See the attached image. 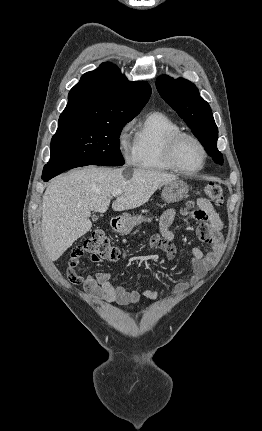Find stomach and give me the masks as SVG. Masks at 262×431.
<instances>
[{
    "label": "stomach",
    "instance_id": "0dacf381",
    "mask_svg": "<svg viewBox=\"0 0 262 431\" xmlns=\"http://www.w3.org/2000/svg\"><path fill=\"white\" fill-rule=\"evenodd\" d=\"M189 187L187 183L182 180L176 179L164 185L162 189V198L167 203L178 202L184 199L187 196ZM142 221L141 216L131 217L126 216L122 217L119 220V225L117 226V230L120 233L128 234L132 228L139 224Z\"/></svg>",
    "mask_w": 262,
    "mask_h": 431
}]
</instances>
